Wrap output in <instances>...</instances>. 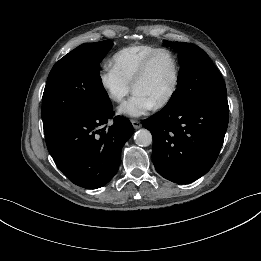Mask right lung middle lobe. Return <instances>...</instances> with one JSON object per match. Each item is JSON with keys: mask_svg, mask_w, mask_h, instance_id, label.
<instances>
[{"mask_svg": "<svg viewBox=\"0 0 261 261\" xmlns=\"http://www.w3.org/2000/svg\"><path fill=\"white\" fill-rule=\"evenodd\" d=\"M112 45L107 40L82 44L53 66L42 98L45 135L73 120L98 115L109 107L99 77V63Z\"/></svg>", "mask_w": 261, "mask_h": 261, "instance_id": "dd1d6c3e", "label": "right lung middle lobe"}]
</instances>
